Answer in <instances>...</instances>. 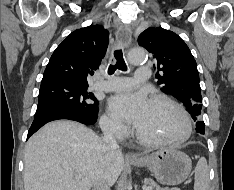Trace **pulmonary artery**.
<instances>
[{
  "label": "pulmonary artery",
  "mask_w": 234,
  "mask_h": 190,
  "mask_svg": "<svg viewBox=\"0 0 234 190\" xmlns=\"http://www.w3.org/2000/svg\"><path fill=\"white\" fill-rule=\"evenodd\" d=\"M106 80L95 83V88L103 91H124L132 88L136 83H145L150 77L148 66H139L135 79L124 76H105Z\"/></svg>",
  "instance_id": "pulmonary-artery-1"
}]
</instances>
